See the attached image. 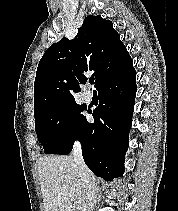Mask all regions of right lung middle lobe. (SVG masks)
<instances>
[{
	"label": "right lung middle lobe",
	"instance_id": "dd1d6c3e",
	"mask_svg": "<svg viewBox=\"0 0 178 211\" xmlns=\"http://www.w3.org/2000/svg\"><path fill=\"white\" fill-rule=\"evenodd\" d=\"M83 105L75 100L50 105L34 114L39 142L46 154H52L73 139L86 117Z\"/></svg>",
	"mask_w": 178,
	"mask_h": 211
}]
</instances>
